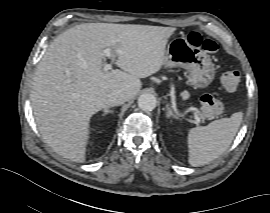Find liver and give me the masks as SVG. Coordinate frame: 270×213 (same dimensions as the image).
Wrapping results in <instances>:
<instances>
[{
    "mask_svg": "<svg viewBox=\"0 0 270 213\" xmlns=\"http://www.w3.org/2000/svg\"><path fill=\"white\" fill-rule=\"evenodd\" d=\"M176 28L85 23L57 36L39 62L31 104L38 129L56 153L84 162L91 117L109 107L108 95L127 100L141 89L140 78L164 65L166 44ZM112 48L120 69L104 71L103 50Z\"/></svg>",
    "mask_w": 270,
    "mask_h": 213,
    "instance_id": "6515ba94",
    "label": "liver"
}]
</instances>
